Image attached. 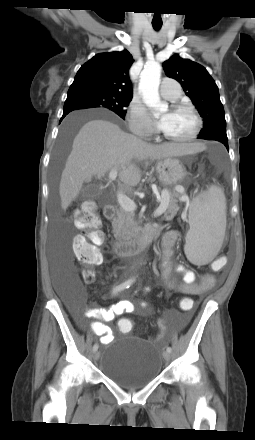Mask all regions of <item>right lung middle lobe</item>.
<instances>
[{
  "label": "right lung middle lobe",
  "instance_id": "1",
  "mask_svg": "<svg viewBox=\"0 0 255 440\" xmlns=\"http://www.w3.org/2000/svg\"><path fill=\"white\" fill-rule=\"evenodd\" d=\"M131 99L132 96H122L103 92L79 93L67 96L64 104V111L103 107L115 112L124 119L126 113L125 107L128 106Z\"/></svg>",
  "mask_w": 255,
  "mask_h": 440
}]
</instances>
